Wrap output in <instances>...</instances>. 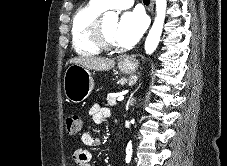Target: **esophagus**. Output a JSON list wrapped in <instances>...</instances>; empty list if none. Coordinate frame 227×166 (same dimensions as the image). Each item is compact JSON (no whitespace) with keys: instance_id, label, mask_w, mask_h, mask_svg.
<instances>
[{"instance_id":"obj_1","label":"esophagus","mask_w":227,"mask_h":166,"mask_svg":"<svg viewBox=\"0 0 227 166\" xmlns=\"http://www.w3.org/2000/svg\"><path fill=\"white\" fill-rule=\"evenodd\" d=\"M153 8H154V0H150V11L151 14H153ZM128 60L127 59H122L121 63H126Z\"/></svg>"}]
</instances>
